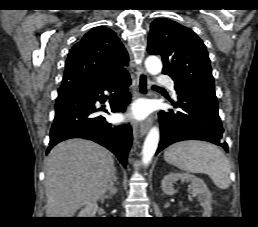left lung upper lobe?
<instances>
[{
    "label": "left lung upper lobe",
    "mask_w": 258,
    "mask_h": 227,
    "mask_svg": "<svg viewBox=\"0 0 258 227\" xmlns=\"http://www.w3.org/2000/svg\"><path fill=\"white\" fill-rule=\"evenodd\" d=\"M147 51L162 56L163 74L172 77L175 87L215 91L206 47L191 29L169 19L157 18L150 27Z\"/></svg>",
    "instance_id": "5c2ea615"
}]
</instances>
